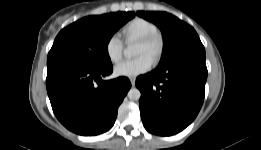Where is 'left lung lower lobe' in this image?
<instances>
[{
    "label": "left lung lower lobe",
    "instance_id": "0a47b994",
    "mask_svg": "<svg viewBox=\"0 0 261 150\" xmlns=\"http://www.w3.org/2000/svg\"><path fill=\"white\" fill-rule=\"evenodd\" d=\"M206 79L200 39L183 44L155 70L139 76L136 87L141 91L139 106L145 129L171 136L190 125L203 104Z\"/></svg>",
    "mask_w": 261,
    "mask_h": 150
}]
</instances>
